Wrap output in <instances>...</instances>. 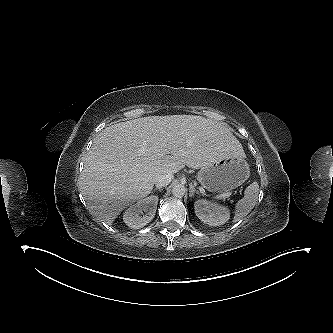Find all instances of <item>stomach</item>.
<instances>
[{"mask_svg": "<svg viewBox=\"0 0 333 333\" xmlns=\"http://www.w3.org/2000/svg\"><path fill=\"white\" fill-rule=\"evenodd\" d=\"M250 176V168L244 158L230 157L201 168L197 179L213 192L232 190L242 185Z\"/></svg>", "mask_w": 333, "mask_h": 333, "instance_id": "0dacf381", "label": "stomach"}]
</instances>
